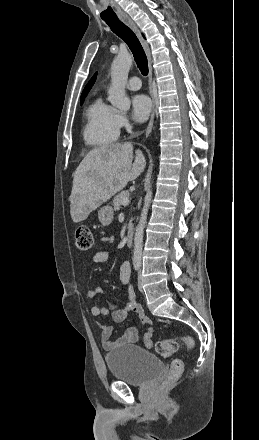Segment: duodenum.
Instances as JSON below:
<instances>
[{"label":"duodenum","instance_id":"1","mask_svg":"<svg viewBox=\"0 0 259 440\" xmlns=\"http://www.w3.org/2000/svg\"><path fill=\"white\" fill-rule=\"evenodd\" d=\"M133 235H134V230L132 227H129L126 233V243L128 246H131L133 243Z\"/></svg>","mask_w":259,"mask_h":440}]
</instances>
